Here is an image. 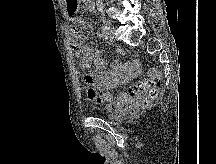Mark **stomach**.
<instances>
[{
	"label": "stomach",
	"mask_w": 216,
	"mask_h": 164,
	"mask_svg": "<svg viewBox=\"0 0 216 164\" xmlns=\"http://www.w3.org/2000/svg\"><path fill=\"white\" fill-rule=\"evenodd\" d=\"M80 0H66V17H70L71 20H74L75 17H79L80 13L78 12Z\"/></svg>",
	"instance_id": "stomach-1"
}]
</instances>
